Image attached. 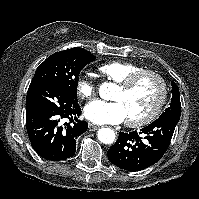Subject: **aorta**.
Masks as SVG:
<instances>
[{
	"mask_svg": "<svg viewBox=\"0 0 199 199\" xmlns=\"http://www.w3.org/2000/svg\"><path fill=\"white\" fill-rule=\"evenodd\" d=\"M113 88L112 83H103L100 86L99 94L102 98L108 99L109 91ZM97 137L104 144H111L115 141V132L110 128H101L98 130Z\"/></svg>",
	"mask_w": 199,
	"mask_h": 199,
	"instance_id": "1",
	"label": "aorta"
}]
</instances>
